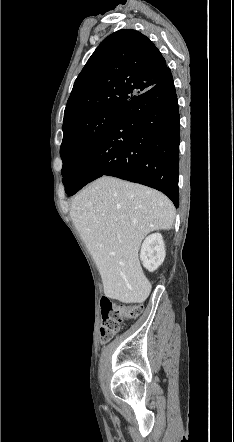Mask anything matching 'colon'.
<instances>
[{"label":"colon","mask_w":234,"mask_h":442,"mask_svg":"<svg viewBox=\"0 0 234 442\" xmlns=\"http://www.w3.org/2000/svg\"><path fill=\"white\" fill-rule=\"evenodd\" d=\"M101 311V338L103 342H108L119 331L124 319H134L142 313L143 304L116 305L109 299H103L101 301Z\"/></svg>","instance_id":"1"}]
</instances>
